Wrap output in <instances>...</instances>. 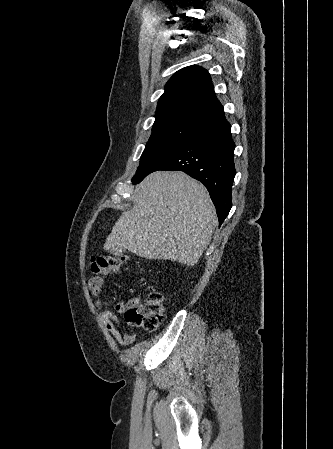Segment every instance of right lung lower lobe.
<instances>
[{
    "label": "right lung lower lobe",
    "mask_w": 333,
    "mask_h": 449,
    "mask_svg": "<svg viewBox=\"0 0 333 449\" xmlns=\"http://www.w3.org/2000/svg\"><path fill=\"white\" fill-rule=\"evenodd\" d=\"M226 119L201 130L161 160L148 174L157 170H180L201 181L216 207L220 225L232 207L235 143ZM144 177L132 180L134 184Z\"/></svg>",
    "instance_id": "right-lung-lower-lobe-1"
}]
</instances>
